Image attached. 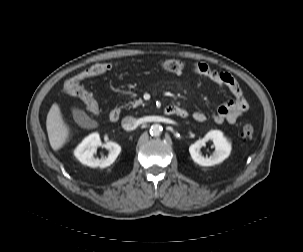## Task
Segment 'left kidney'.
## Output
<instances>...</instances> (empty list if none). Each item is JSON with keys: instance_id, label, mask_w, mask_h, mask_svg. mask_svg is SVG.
<instances>
[{"instance_id": "1", "label": "left kidney", "mask_w": 303, "mask_h": 252, "mask_svg": "<svg viewBox=\"0 0 303 252\" xmlns=\"http://www.w3.org/2000/svg\"><path fill=\"white\" fill-rule=\"evenodd\" d=\"M211 140L215 147V152L210 157H203L200 150L207 141ZM190 155L194 162L200 166H213L223 162L231 152V143L219 130L209 131L202 140H197L189 147Z\"/></svg>"}]
</instances>
